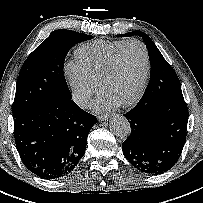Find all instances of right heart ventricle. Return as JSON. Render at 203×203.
Returning <instances> with one entry per match:
<instances>
[{"instance_id": "1", "label": "right heart ventricle", "mask_w": 203, "mask_h": 203, "mask_svg": "<svg viewBox=\"0 0 203 203\" xmlns=\"http://www.w3.org/2000/svg\"><path fill=\"white\" fill-rule=\"evenodd\" d=\"M124 41L102 40L85 43L76 49V61L96 82H99L101 73L111 55Z\"/></svg>"}]
</instances>
